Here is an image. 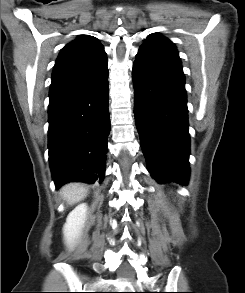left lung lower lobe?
I'll list each match as a JSON object with an SVG mask.
<instances>
[{"label": "left lung lower lobe", "instance_id": "left-lung-lower-lobe-1", "mask_svg": "<svg viewBox=\"0 0 245 293\" xmlns=\"http://www.w3.org/2000/svg\"><path fill=\"white\" fill-rule=\"evenodd\" d=\"M134 113L148 171L160 184L189 178L187 95L181 63L139 49L132 71Z\"/></svg>", "mask_w": 245, "mask_h": 293}]
</instances>
